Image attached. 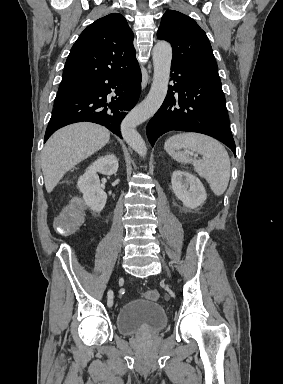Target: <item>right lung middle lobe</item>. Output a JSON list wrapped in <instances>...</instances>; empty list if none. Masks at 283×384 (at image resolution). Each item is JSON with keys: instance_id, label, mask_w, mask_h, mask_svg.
Here are the masks:
<instances>
[{"instance_id": "right-lung-middle-lobe-1", "label": "right lung middle lobe", "mask_w": 283, "mask_h": 384, "mask_svg": "<svg viewBox=\"0 0 283 384\" xmlns=\"http://www.w3.org/2000/svg\"><path fill=\"white\" fill-rule=\"evenodd\" d=\"M79 91H58L55 102H54V107L61 106L71 100H73L77 95Z\"/></svg>"}]
</instances>
